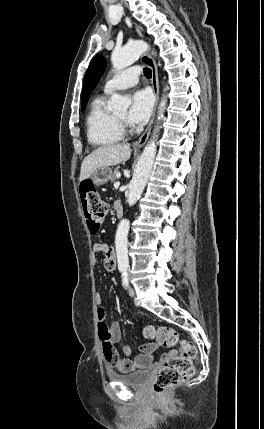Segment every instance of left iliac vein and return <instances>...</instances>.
I'll return each mask as SVG.
<instances>
[{
  "mask_svg": "<svg viewBox=\"0 0 264 429\" xmlns=\"http://www.w3.org/2000/svg\"><path fill=\"white\" fill-rule=\"evenodd\" d=\"M129 295H130L131 297H134V296H135V290H134V288H133L132 286H129Z\"/></svg>",
  "mask_w": 264,
  "mask_h": 429,
  "instance_id": "obj_1",
  "label": "left iliac vein"
}]
</instances>
